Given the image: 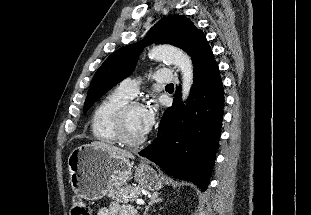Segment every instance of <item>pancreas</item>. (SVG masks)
<instances>
[{"label":"pancreas","instance_id":"1","mask_svg":"<svg viewBox=\"0 0 311 215\" xmlns=\"http://www.w3.org/2000/svg\"><path fill=\"white\" fill-rule=\"evenodd\" d=\"M110 196L117 202L128 203L141 196V189L132 186L120 187L112 190Z\"/></svg>","mask_w":311,"mask_h":215}]
</instances>
